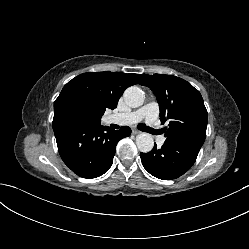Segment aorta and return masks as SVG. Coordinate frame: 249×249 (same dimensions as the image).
<instances>
[{
    "instance_id": "obj_1",
    "label": "aorta",
    "mask_w": 249,
    "mask_h": 249,
    "mask_svg": "<svg viewBox=\"0 0 249 249\" xmlns=\"http://www.w3.org/2000/svg\"><path fill=\"white\" fill-rule=\"evenodd\" d=\"M123 97L126 104L133 108L141 106L145 99L143 90L136 86L127 88ZM136 145L139 151L143 153L150 152L154 146L153 137L149 133H141L136 137Z\"/></svg>"
}]
</instances>
